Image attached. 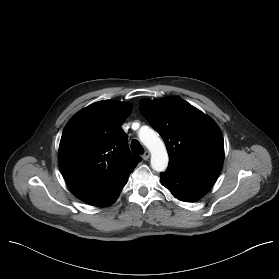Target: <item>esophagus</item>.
<instances>
[{
	"instance_id": "1",
	"label": "esophagus",
	"mask_w": 279,
	"mask_h": 279,
	"mask_svg": "<svg viewBox=\"0 0 279 279\" xmlns=\"http://www.w3.org/2000/svg\"><path fill=\"white\" fill-rule=\"evenodd\" d=\"M143 160H148L150 158V152L149 151H145V153L142 156Z\"/></svg>"
}]
</instances>
